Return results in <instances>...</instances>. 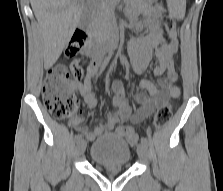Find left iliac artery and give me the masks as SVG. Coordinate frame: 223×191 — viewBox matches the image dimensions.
<instances>
[{
    "instance_id": "left-iliac-artery-1",
    "label": "left iliac artery",
    "mask_w": 223,
    "mask_h": 191,
    "mask_svg": "<svg viewBox=\"0 0 223 191\" xmlns=\"http://www.w3.org/2000/svg\"><path fill=\"white\" fill-rule=\"evenodd\" d=\"M141 143H143L144 145L148 146V140L145 137L141 138Z\"/></svg>"
}]
</instances>
